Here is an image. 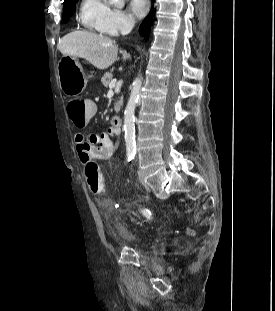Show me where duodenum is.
Instances as JSON below:
<instances>
[{
    "label": "duodenum",
    "mask_w": 275,
    "mask_h": 311,
    "mask_svg": "<svg viewBox=\"0 0 275 311\" xmlns=\"http://www.w3.org/2000/svg\"><path fill=\"white\" fill-rule=\"evenodd\" d=\"M112 124L117 128H121L122 122H121L120 117H113Z\"/></svg>",
    "instance_id": "410a0bca"
}]
</instances>
